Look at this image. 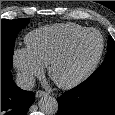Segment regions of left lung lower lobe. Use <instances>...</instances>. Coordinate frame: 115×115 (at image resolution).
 <instances>
[{
    "mask_svg": "<svg viewBox=\"0 0 115 115\" xmlns=\"http://www.w3.org/2000/svg\"><path fill=\"white\" fill-rule=\"evenodd\" d=\"M57 101V115H115V73L89 77Z\"/></svg>",
    "mask_w": 115,
    "mask_h": 115,
    "instance_id": "left-lung-lower-lobe-1",
    "label": "left lung lower lobe"
}]
</instances>
